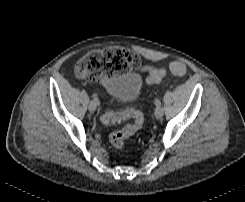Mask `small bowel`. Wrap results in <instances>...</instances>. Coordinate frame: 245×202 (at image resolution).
<instances>
[{
  "instance_id": "obj_1",
  "label": "small bowel",
  "mask_w": 245,
  "mask_h": 202,
  "mask_svg": "<svg viewBox=\"0 0 245 202\" xmlns=\"http://www.w3.org/2000/svg\"><path fill=\"white\" fill-rule=\"evenodd\" d=\"M157 70L152 64L146 63L141 64L137 62L136 71L140 73H144L146 75V82L147 84H158L161 80H156L154 78V72ZM108 80H101L99 84L104 88L108 84Z\"/></svg>"
}]
</instances>
